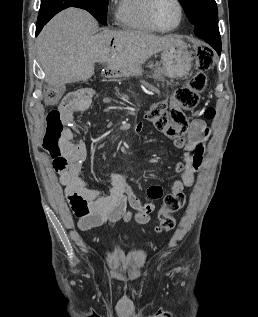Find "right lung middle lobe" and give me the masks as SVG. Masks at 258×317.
<instances>
[{"label":"right lung middle lobe","instance_id":"right-lung-middle-lobe-1","mask_svg":"<svg viewBox=\"0 0 258 317\" xmlns=\"http://www.w3.org/2000/svg\"><path fill=\"white\" fill-rule=\"evenodd\" d=\"M93 11V16L103 25L107 24L106 13L108 9V0H88Z\"/></svg>","mask_w":258,"mask_h":317}]
</instances>
